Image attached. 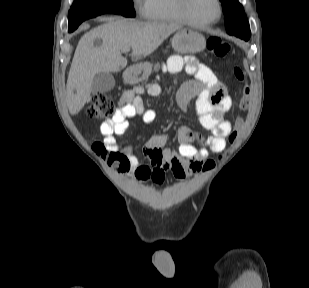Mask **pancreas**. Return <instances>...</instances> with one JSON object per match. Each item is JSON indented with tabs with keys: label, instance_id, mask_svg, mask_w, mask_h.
Here are the masks:
<instances>
[{
	"label": "pancreas",
	"instance_id": "pancreas-1",
	"mask_svg": "<svg viewBox=\"0 0 309 288\" xmlns=\"http://www.w3.org/2000/svg\"><path fill=\"white\" fill-rule=\"evenodd\" d=\"M158 68H159V63L155 64L154 70L156 71V70H158Z\"/></svg>",
	"mask_w": 309,
	"mask_h": 288
}]
</instances>
